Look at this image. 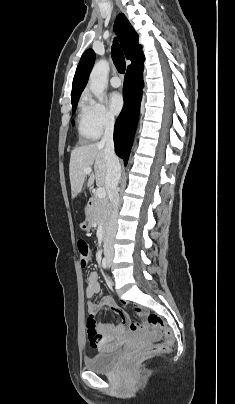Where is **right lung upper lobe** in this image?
<instances>
[{
    "label": "right lung upper lobe",
    "instance_id": "1",
    "mask_svg": "<svg viewBox=\"0 0 235 404\" xmlns=\"http://www.w3.org/2000/svg\"><path fill=\"white\" fill-rule=\"evenodd\" d=\"M114 28L119 36L126 58L132 61L128 68L143 63L145 58L142 47L138 44V34L123 13L116 17ZM94 61L95 53L92 49H88L83 53L73 79L72 102L78 101L84 90Z\"/></svg>",
    "mask_w": 235,
    "mask_h": 404
}]
</instances>
